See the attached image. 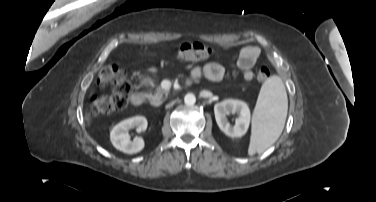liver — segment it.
<instances>
[{"mask_svg":"<svg viewBox=\"0 0 376 202\" xmlns=\"http://www.w3.org/2000/svg\"><path fill=\"white\" fill-rule=\"evenodd\" d=\"M86 120L89 122V118L88 117H86Z\"/></svg>","mask_w":376,"mask_h":202,"instance_id":"6515ba94","label":"liver"}]
</instances>
